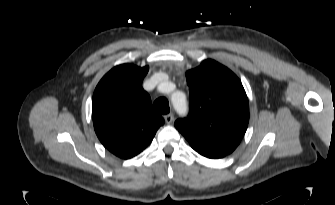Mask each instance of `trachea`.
I'll use <instances>...</instances> for the list:
<instances>
[{
    "mask_svg": "<svg viewBox=\"0 0 335 205\" xmlns=\"http://www.w3.org/2000/svg\"><path fill=\"white\" fill-rule=\"evenodd\" d=\"M153 108L160 114H167L170 111L169 102L166 98H158L153 103Z\"/></svg>",
    "mask_w": 335,
    "mask_h": 205,
    "instance_id": "obj_1",
    "label": "trachea"
}]
</instances>
